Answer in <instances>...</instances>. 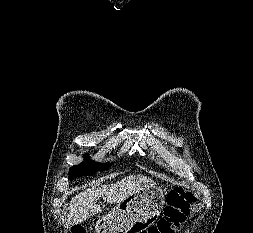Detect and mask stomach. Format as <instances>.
<instances>
[{"label":"stomach","instance_id":"0dacf381","mask_svg":"<svg viewBox=\"0 0 253 233\" xmlns=\"http://www.w3.org/2000/svg\"><path fill=\"white\" fill-rule=\"evenodd\" d=\"M165 202L157 186L142 188L109 212L96 225L98 233H141L155 223Z\"/></svg>","mask_w":253,"mask_h":233}]
</instances>
